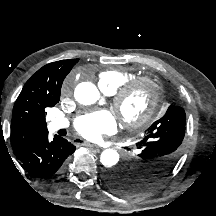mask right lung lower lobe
I'll return each mask as SVG.
<instances>
[{"label": "right lung lower lobe", "instance_id": "right-lung-lower-lobe-1", "mask_svg": "<svg viewBox=\"0 0 216 216\" xmlns=\"http://www.w3.org/2000/svg\"><path fill=\"white\" fill-rule=\"evenodd\" d=\"M75 149L74 145L59 136L49 141L47 131L35 137L16 157L32 176L49 179L61 172L67 157Z\"/></svg>", "mask_w": 216, "mask_h": 216}]
</instances>
